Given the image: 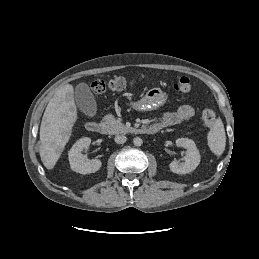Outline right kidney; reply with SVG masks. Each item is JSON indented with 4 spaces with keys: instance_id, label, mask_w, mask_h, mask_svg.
Masks as SVG:
<instances>
[{
    "instance_id": "right-kidney-1",
    "label": "right kidney",
    "mask_w": 259,
    "mask_h": 259,
    "mask_svg": "<svg viewBox=\"0 0 259 259\" xmlns=\"http://www.w3.org/2000/svg\"><path fill=\"white\" fill-rule=\"evenodd\" d=\"M91 144V138L83 137L79 139L70 149L68 153V159L70 167L73 171L80 174H90L97 172L101 166L102 162L99 159H87L82 155L81 151L84 148L89 147Z\"/></svg>"
}]
</instances>
